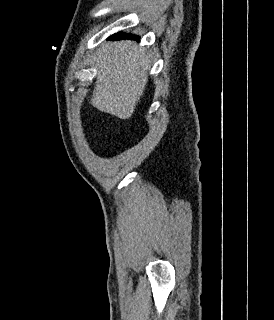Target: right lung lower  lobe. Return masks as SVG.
Returning <instances> with one entry per match:
<instances>
[{"instance_id": "right-lung-lower-lobe-1", "label": "right lung lower lobe", "mask_w": 274, "mask_h": 320, "mask_svg": "<svg viewBox=\"0 0 274 320\" xmlns=\"http://www.w3.org/2000/svg\"><path fill=\"white\" fill-rule=\"evenodd\" d=\"M111 39H124V38H132V39H136V40H139V37H135V36H132V35H129V34H125V33H117V34H114L113 36L110 37Z\"/></svg>"}]
</instances>
